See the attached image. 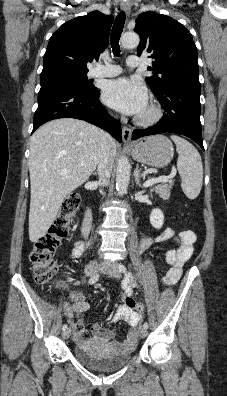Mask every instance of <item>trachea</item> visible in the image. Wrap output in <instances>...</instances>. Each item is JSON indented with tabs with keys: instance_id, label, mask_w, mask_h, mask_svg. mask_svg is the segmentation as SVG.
Listing matches in <instances>:
<instances>
[{
	"instance_id": "1",
	"label": "trachea",
	"mask_w": 227,
	"mask_h": 396,
	"mask_svg": "<svg viewBox=\"0 0 227 396\" xmlns=\"http://www.w3.org/2000/svg\"><path fill=\"white\" fill-rule=\"evenodd\" d=\"M125 19H126L125 13L120 12L118 14V16L116 17L115 22L112 27V31H111V35H110V43H111V47L113 50V54L115 56L120 55L119 40H120L122 31L124 28Z\"/></svg>"
}]
</instances>
